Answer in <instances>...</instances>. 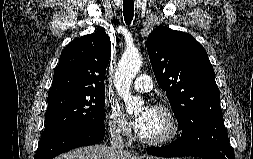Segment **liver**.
I'll use <instances>...</instances> for the list:
<instances>
[{
    "label": "liver",
    "instance_id": "6515ba94",
    "mask_svg": "<svg viewBox=\"0 0 253 159\" xmlns=\"http://www.w3.org/2000/svg\"><path fill=\"white\" fill-rule=\"evenodd\" d=\"M54 159H140L130 152L112 151L107 146H85L61 154Z\"/></svg>",
    "mask_w": 253,
    "mask_h": 159
}]
</instances>
